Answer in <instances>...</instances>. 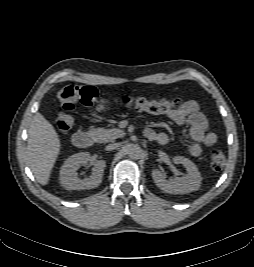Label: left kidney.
Returning <instances> with one entry per match:
<instances>
[{
	"instance_id": "left-kidney-1",
	"label": "left kidney",
	"mask_w": 254,
	"mask_h": 267,
	"mask_svg": "<svg viewBox=\"0 0 254 267\" xmlns=\"http://www.w3.org/2000/svg\"><path fill=\"white\" fill-rule=\"evenodd\" d=\"M175 164H182L187 171L183 177L167 180L158 169L152 170V178L162 191L170 194H185L198 190L201 186V175L196 165L183 156L173 158Z\"/></svg>"
}]
</instances>
